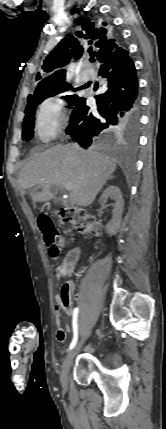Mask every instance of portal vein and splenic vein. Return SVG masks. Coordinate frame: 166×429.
<instances>
[{
	"instance_id": "1",
	"label": "portal vein and splenic vein",
	"mask_w": 166,
	"mask_h": 429,
	"mask_svg": "<svg viewBox=\"0 0 166 429\" xmlns=\"http://www.w3.org/2000/svg\"><path fill=\"white\" fill-rule=\"evenodd\" d=\"M62 186L67 190H70L72 188V184L70 182H65L62 184Z\"/></svg>"
}]
</instances>
